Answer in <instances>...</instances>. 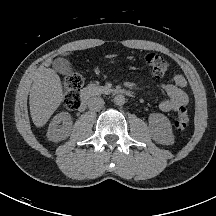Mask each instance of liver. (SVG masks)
<instances>
[{"instance_id": "1", "label": "liver", "mask_w": 216, "mask_h": 216, "mask_svg": "<svg viewBox=\"0 0 216 216\" xmlns=\"http://www.w3.org/2000/svg\"><path fill=\"white\" fill-rule=\"evenodd\" d=\"M115 55H107L112 58ZM51 60L40 66L30 90V114L36 127H43L64 100L63 88L57 73L48 68Z\"/></svg>"}]
</instances>
